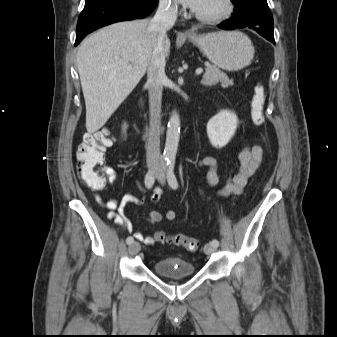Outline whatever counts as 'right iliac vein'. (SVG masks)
<instances>
[{
  "label": "right iliac vein",
  "mask_w": 337,
  "mask_h": 337,
  "mask_svg": "<svg viewBox=\"0 0 337 337\" xmlns=\"http://www.w3.org/2000/svg\"><path fill=\"white\" fill-rule=\"evenodd\" d=\"M153 166V164H151ZM140 250V244L138 242H133L129 245V254L130 255H135L139 252Z\"/></svg>",
  "instance_id": "right-iliac-vein-1"
}]
</instances>
